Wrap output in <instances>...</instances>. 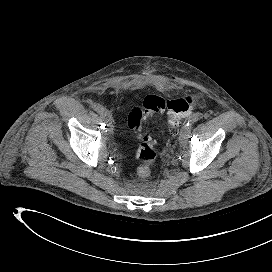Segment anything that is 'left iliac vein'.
<instances>
[{"mask_svg":"<svg viewBox=\"0 0 272 272\" xmlns=\"http://www.w3.org/2000/svg\"><path fill=\"white\" fill-rule=\"evenodd\" d=\"M190 131H191V126L184 125L182 127L181 132L179 134V142L181 145L185 144L186 138H187L188 134L190 133Z\"/></svg>","mask_w":272,"mask_h":272,"instance_id":"1","label":"left iliac vein"}]
</instances>
